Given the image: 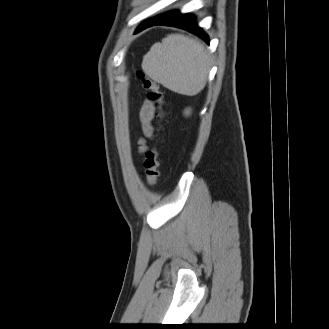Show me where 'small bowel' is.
<instances>
[{
    "instance_id": "1",
    "label": "small bowel",
    "mask_w": 329,
    "mask_h": 329,
    "mask_svg": "<svg viewBox=\"0 0 329 329\" xmlns=\"http://www.w3.org/2000/svg\"><path fill=\"white\" fill-rule=\"evenodd\" d=\"M154 117V109L152 108L150 102L146 101L142 105L139 118L142 125L143 137L139 139V147L138 152L143 153L146 149V139L150 137L153 133V129L151 126L152 119Z\"/></svg>"
}]
</instances>
